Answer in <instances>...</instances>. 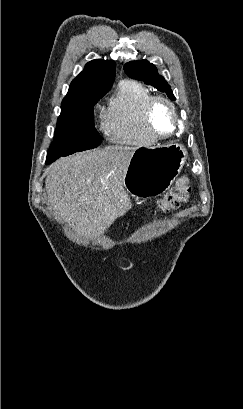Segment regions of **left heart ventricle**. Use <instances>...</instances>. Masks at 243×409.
Returning <instances> with one entry per match:
<instances>
[{"label":"left heart ventricle","instance_id":"obj_1","mask_svg":"<svg viewBox=\"0 0 243 409\" xmlns=\"http://www.w3.org/2000/svg\"><path fill=\"white\" fill-rule=\"evenodd\" d=\"M152 124L154 129L160 134H167L174 128L173 115L167 105L158 103L153 111Z\"/></svg>","mask_w":243,"mask_h":409}]
</instances>
